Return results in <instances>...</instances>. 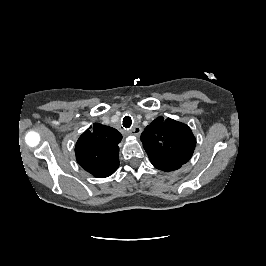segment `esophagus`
<instances>
[{
    "mask_svg": "<svg viewBox=\"0 0 266 266\" xmlns=\"http://www.w3.org/2000/svg\"><path fill=\"white\" fill-rule=\"evenodd\" d=\"M141 127L140 126H134L132 129H131V133L134 134L135 136H140L141 134Z\"/></svg>",
    "mask_w": 266,
    "mask_h": 266,
    "instance_id": "obj_1",
    "label": "esophagus"
}]
</instances>
